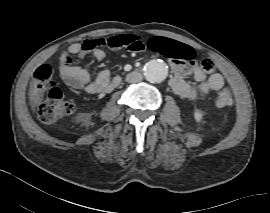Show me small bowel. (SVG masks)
Masks as SVG:
<instances>
[{
    "label": "small bowel",
    "mask_w": 270,
    "mask_h": 213,
    "mask_svg": "<svg viewBox=\"0 0 270 213\" xmlns=\"http://www.w3.org/2000/svg\"><path fill=\"white\" fill-rule=\"evenodd\" d=\"M171 42L178 46L174 53H168L171 68L174 72L171 79V87L180 97L185 99H195L197 97L208 96L212 91L221 89L225 84V77L219 72L206 71L203 67L193 65L196 52L190 46L172 40H162ZM150 49L156 48L149 43ZM142 49L141 44L135 42V46L129 41L126 35H115L108 38L87 39L81 43L71 44L60 54V73L63 80L69 87L75 90L84 89L89 94L107 93L117 87L120 83L119 76H111L107 69L101 70L94 80L90 73L79 65L65 64L66 60H71L77 56L82 60L88 53H92L93 61L99 64L105 57L107 50L119 51L130 50L137 53ZM191 75L198 85L188 83L185 78Z\"/></svg>",
    "instance_id": "1"
}]
</instances>
